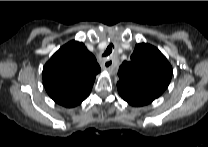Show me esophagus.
<instances>
[{
	"label": "esophagus",
	"instance_id": "obj_1",
	"mask_svg": "<svg viewBox=\"0 0 208 147\" xmlns=\"http://www.w3.org/2000/svg\"><path fill=\"white\" fill-rule=\"evenodd\" d=\"M103 69L108 71L109 73L111 74H114L116 69H115V66H114V63L112 60L110 59H106L103 63Z\"/></svg>",
	"mask_w": 208,
	"mask_h": 147
}]
</instances>
